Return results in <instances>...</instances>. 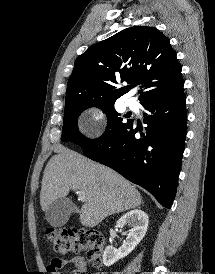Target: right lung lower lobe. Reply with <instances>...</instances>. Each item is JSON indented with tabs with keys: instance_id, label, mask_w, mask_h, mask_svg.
<instances>
[{
	"instance_id": "right-lung-lower-lobe-1",
	"label": "right lung lower lobe",
	"mask_w": 215,
	"mask_h": 274,
	"mask_svg": "<svg viewBox=\"0 0 215 274\" xmlns=\"http://www.w3.org/2000/svg\"><path fill=\"white\" fill-rule=\"evenodd\" d=\"M185 102L183 91L143 102L147 111L145 131L130 121L105 142L85 149L84 153L148 190L162 206L171 208L187 133ZM138 131L140 135H136Z\"/></svg>"
}]
</instances>
